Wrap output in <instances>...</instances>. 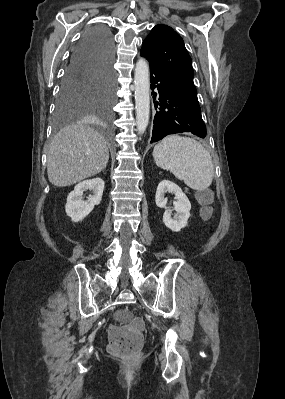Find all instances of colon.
<instances>
[{
    "mask_svg": "<svg viewBox=\"0 0 285 399\" xmlns=\"http://www.w3.org/2000/svg\"><path fill=\"white\" fill-rule=\"evenodd\" d=\"M199 198L204 204V215L210 214L208 207L209 196L206 192L199 193ZM143 344V323L134 318L128 319L124 324L113 327L109 332V351L121 357L135 356Z\"/></svg>",
    "mask_w": 285,
    "mask_h": 399,
    "instance_id": "colon-1",
    "label": "colon"
}]
</instances>
